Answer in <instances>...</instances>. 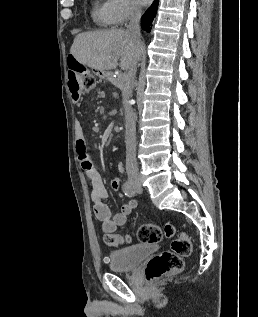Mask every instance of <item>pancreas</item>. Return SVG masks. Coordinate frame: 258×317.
<instances>
[{"instance_id": "1", "label": "pancreas", "mask_w": 258, "mask_h": 317, "mask_svg": "<svg viewBox=\"0 0 258 317\" xmlns=\"http://www.w3.org/2000/svg\"><path fill=\"white\" fill-rule=\"evenodd\" d=\"M109 81L111 84H116L118 90L125 89V84L123 83L122 77H111Z\"/></svg>"}]
</instances>
